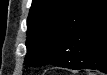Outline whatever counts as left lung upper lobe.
Wrapping results in <instances>:
<instances>
[{"mask_svg": "<svg viewBox=\"0 0 107 75\" xmlns=\"http://www.w3.org/2000/svg\"><path fill=\"white\" fill-rule=\"evenodd\" d=\"M97 0H33L27 19L26 66L55 64L54 50L76 40L78 22Z\"/></svg>", "mask_w": 107, "mask_h": 75, "instance_id": "left-lung-upper-lobe-1", "label": "left lung upper lobe"}]
</instances>
